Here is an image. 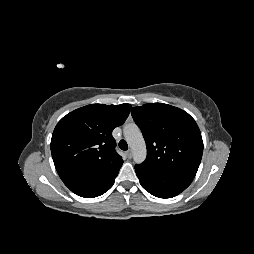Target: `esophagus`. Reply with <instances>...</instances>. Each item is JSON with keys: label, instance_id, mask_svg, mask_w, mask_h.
Segmentation results:
<instances>
[{"label": "esophagus", "instance_id": "obj_1", "mask_svg": "<svg viewBox=\"0 0 254 254\" xmlns=\"http://www.w3.org/2000/svg\"><path fill=\"white\" fill-rule=\"evenodd\" d=\"M126 154H127V157H128L129 159L132 158V150L129 149V150L126 152Z\"/></svg>", "mask_w": 254, "mask_h": 254}]
</instances>
